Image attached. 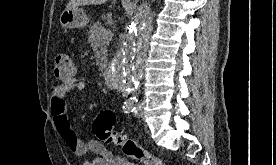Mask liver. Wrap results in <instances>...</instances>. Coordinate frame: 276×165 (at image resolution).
<instances>
[{"label": "liver", "instance_id": "6515ba94", "mask_svg": "<svg viewBox=\"0 0 276 165\" xmlns=\"http://www.w3.org/2000/svg\"><path fill=\"white\" fill-rule=\"evenodd\" d=\"M106 2L107 0H70L66 6V9H76L82 5H101Z\"/></svg>", "mask_w": 276, "mask_h": 165}]
</instances>
